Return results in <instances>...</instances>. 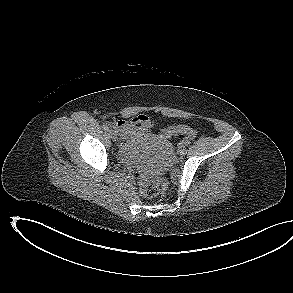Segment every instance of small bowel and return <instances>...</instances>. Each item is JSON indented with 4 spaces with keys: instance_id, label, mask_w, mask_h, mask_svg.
Here are the masks:
<instances>
[{
    "instance_id": "small-bowel-1",
    "label": "small bowel",
    "mask_w": 293,
    "mask_h": 293,
    "mask_svg": "<svg viewBox=\"0 0 293 293\" xmlns=\"http://www.w3.org/2000/svg\"><path fill=\"white\" fill-rule=\"evenodd\" d=\"M114 127L119 135L126 139L130 135H143L151 128V121L145 115H139L130 121L118 120Z\"/></svg>"
}]
</instances>
